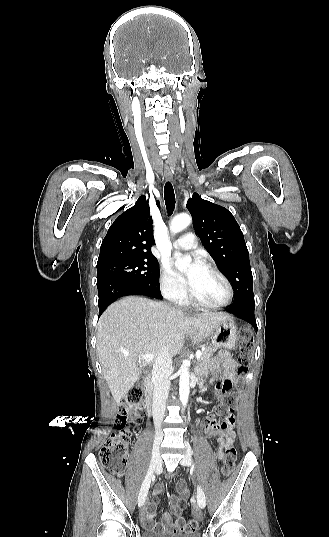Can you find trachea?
<instances>
[{
  "mask_svg": "<svg viewBox=\"0 0 329 537\" xmlns=\"http://www.w3.org/2000/svg\"><path fill=\"white\" fill-rule=\"evenodd\" d=\"M164 198L168 215H171L175 207V194L171 182H166L164 186Z\"/></svg>",
  "mask_w": 329,
  "mask_h": 537,
  "instance_id": "3493384b",
  "label": "trachea"
}]
</instances>
